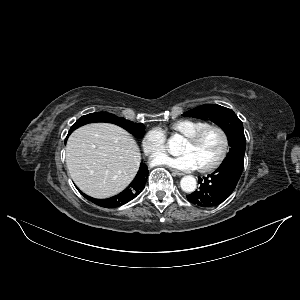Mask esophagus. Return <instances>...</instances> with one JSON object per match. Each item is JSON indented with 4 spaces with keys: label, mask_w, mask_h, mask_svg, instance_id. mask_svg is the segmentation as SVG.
<instances>
[{
    "label": "esophagus",
    "mask_w": 300,
    "mask_h": 300,
    "mask_svg": "<svg viewBox=\"0 0 300 300\" xmlns=\"http://www.w3.org/2000/svg\"><path fill=\"white\" fill-rule=\"evenodd\" d=\"M171 172H172L173 175H177V176H183L184 175L183 172L178 171V170H171Z\"/></svg>",
    "instance_id": "34e87169"
}]
</instances>
